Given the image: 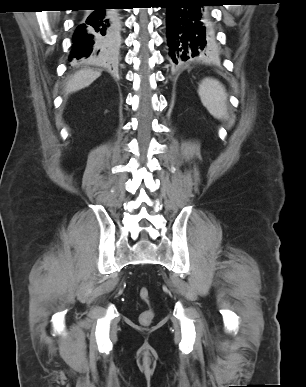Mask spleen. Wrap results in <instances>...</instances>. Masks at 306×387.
Returning <instances> with one entry per match:
<instances>
[{
    "mask_svg": "<svg viewBox=\"0 0 306 387\" xmlns=\"http://www.w3.org/2000/svg\"><path fill=\"white\" fill-rule=\"evenodd\" d=\"M198 94L202 104L214 118L220 120L227 118V94L219 81L204 79L199 85Z\"/></svg>",
    "mask_w": 306,
    "mask_h": 387,
    "instance_id": "obj_1",
    "label": "spleen"
}]
</instances>
